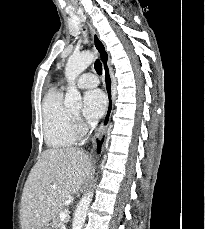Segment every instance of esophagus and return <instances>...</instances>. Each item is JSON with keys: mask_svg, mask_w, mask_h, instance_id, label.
I'll return each mask as SVG.
<instances>
[{"mask_svg": "<svg viewBox=\"0 0 205 229\" xmlns=\"http://www.w3.org/2000/svg\"><path fill=\"white\" fill-rule=\"evenodd\" d=\"M88 26L90 28V31L92 33V39H93V44L94 47L100 57L102 66H103V72H104V81H105V89H106V94H107V108L106 112L104 115V118L102 120L101 125L98 128L97 131V137H101L104 132L106 131L111 114L113 111V83H112V73H111V68H110V63H109V53L106 50V46L104 42L100 39L99 35L93 28L90 22H87Z\"/></svg>", "mask_w": 205, "mask_h": 229, "instance_id": "esophagus-1", "label": "esophagus"}]
</instances>
